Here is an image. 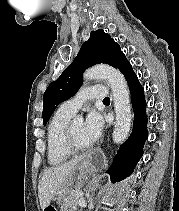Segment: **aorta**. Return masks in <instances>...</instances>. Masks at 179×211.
Masks as SVG:
<instances>
[{
	"label": "aorta",
	"instance_id": "obj_1",
	"mask_svg": "<svg viewBox=\"0 0 179 211\" xmlns=\"http://www.w3.org/2000/svg\"><path fill=\"white\" fill-rule=\"evenodd\" d=\"M83 78L85 81H95L104 79L108 82L114 100L116 120L113 130V141L123 142L130 131L131 107L127 83L122 73L109 65H96L85 71Z\"/></svg>",
	"mask_w": 179,
	"mask_h": 211
}]
</instances>
